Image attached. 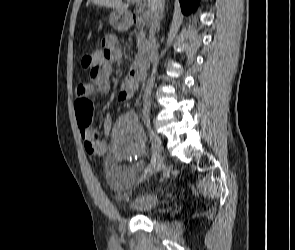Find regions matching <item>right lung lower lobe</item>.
Masks as SVG:
<instances>
[{
    "mask_svg": "<svg viewBox=\"0 0 295 250\" xmlns=\"http://www.w3.org/2000/svg\"><path fill=\"white\" fill-rule=\"evenodd\" d=\"M183 13L188 14L198 6L199 0H179Z\"/></svg>",
    "mask_w": 295,
    "mask_h": 250,
    "instance_id": "obj_1",
    "label": "right lung lower lobe"
}]
</instances>
